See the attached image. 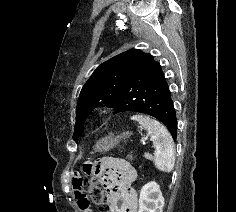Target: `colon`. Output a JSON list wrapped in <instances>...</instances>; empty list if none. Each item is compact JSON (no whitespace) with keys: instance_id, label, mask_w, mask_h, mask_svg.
<instances>
[{"instance_id":"obj_1","label":"colon","mask_w":236,"mask_h":212,"mask_svg":"<svg viewBox=\"0 0 236 212\" xmlns=\"http://www.w3.org/2000/svg\"><path fill=\"white\" fill-rule=\"evenodd\" d=\"M84 170L90 175L81 182V187L87 199L101 207L102 212H109V204L106 200L107 184L103 180L100 171L92 165H85ZM88 199V203H89Z\"/></svg>"}]
</instances>
